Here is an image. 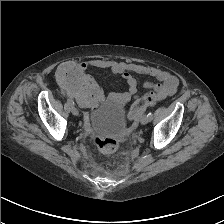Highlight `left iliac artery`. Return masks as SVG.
Returning a JSON list of instances; mask_svg holds the SVG:
<instances>
[{
    "instance_id": "44dca946",
    "label": "left iliac artery",
    "mask_w": 224,
    "mask_h": 224,
    "mask_svg": "<svg viewBox=\"0 0 224 224\" xmlns=\"http://www.w3.org/2000/svg\"><path fill=\"white\" fill-rule=\"evenodd\" d=\"M148 117H149V119H150V121H151L152 118H153V114H152V112H149V113H148Z\"/></svg>"
}]
</instances>
